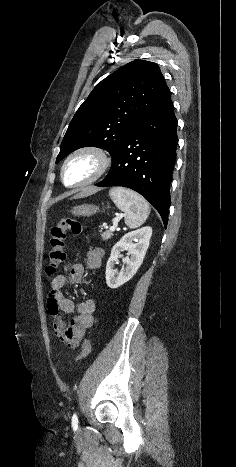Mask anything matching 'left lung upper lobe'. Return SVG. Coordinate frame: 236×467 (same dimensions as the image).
I'll use <instances>...</instances> for the list:
<instances>
[{"instance_id":"1","label":"left lung upper lobe","mask_w":236,"mask_h":467,"mask_svg":"<svg viewBox=\"0 0 236 467\" xmlns=\"http://www.w3.org/2000/svg\"><path fill=\"white\" fill-rule=\"evenodd\" d=\"M169 92L156 63L135 60L101 81L71 120L56 163L81 147L107 150L112 159L130 130Z\"/></svg>"}]
</instances>
